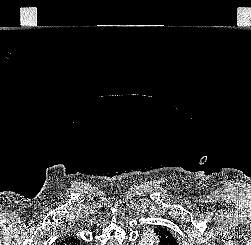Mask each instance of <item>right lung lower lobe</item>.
Here are the masks:
<instances>
[{"label":"right lung lower lobe","mask_w":251,"mask_h":245,"mask_svg":"<svg viewBox=\"0 0 251 245\" xmlns=\"http://www.w3.org/2000/svg\"><path fill=\"white\" fill-rule=\"evenodd\" d=\"M59 245H80L79 240L74 238H65L63 239Z\"/></svg>","instance_id":"obj_1"}]
</instances>
